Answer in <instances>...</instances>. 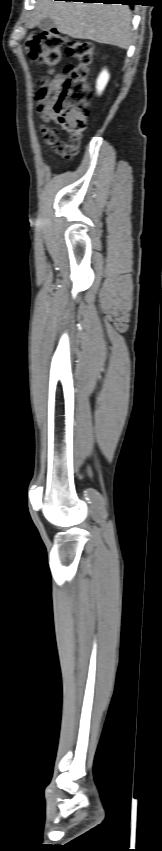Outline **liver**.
Segmentation results:
<instances>
[{
	"instance_id": "1",
	"label": "liver",
	"mask_w": 162,
	"mask_h": 851,
	"mask_svg": "<svg viewBox=\"0 0 162 851\" xmlns=\"http://www.w3.org/2000/svg\"><path fill=\"white\" fill-rule=\"evenodd\" d=\"M49 17L59 32L76 39L127 49L132 42L128 6L103 3L37 0L28 28Z\"/></svg>"
}]
</instances>
